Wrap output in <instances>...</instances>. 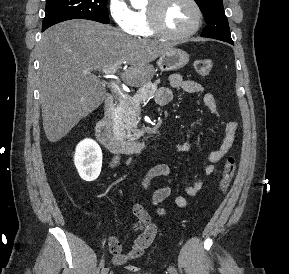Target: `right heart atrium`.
Instances as JSON below:
<instances>
[{
	"mask_svg": "<svg viewBox=\"0 0 289 274\" xmlns=\"http://www.w3.org/2000/svg\"><path fill=\"white\" fill-rule=\"evenodd\" d=\"M108 9L111 18L120 30L129 34L134 33V12L125 0H109Z\"/></svg>",
	"mask_w": 289,
	"mask_h": 274,
	"instance_id": "obj_1",
	"label": "right heart atrium"
}]
</instances>
